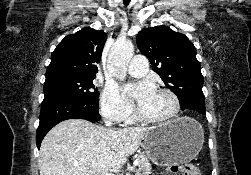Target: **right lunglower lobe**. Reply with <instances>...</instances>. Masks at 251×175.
Instances as JSON below:
<instances>
[{
    "label": "right lung lower lobe",
    "mask_w": 251,
    "mask_h": 175,
    "mask_svg": "<svg viewBox=\"0 0 251 175\" xmlns=\"http://www.w3.org/2000/svg\"><path fill=\"white\" fill-rule=\"evenodd\" d=\"M75 118L98 122L101 118L98 113V97L84 100L64 93L45 94L36 133L38 149L42 139L52 127L61 121Z\"/></svg>",
    "instance_id": "right-lung-lower-lobe-1"
}]
</instances>
